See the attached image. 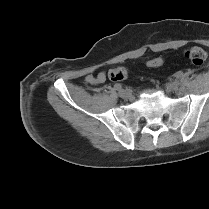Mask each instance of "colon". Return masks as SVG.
I'll list each match as a JSON object with an SVG mask.
<instances>
[{
    "instance_id": "1",
    "label": "colon",
    "mask_w": 209,
    "mask_h": 209,
    "mask_svg": "<svg viewBox=\"0 0 209 209\" xmlns=\"http://www.w3.org/2000/svg\"><path fill=\"white\" fill-rule=\"evenodd\" d=\"M185 59L195 66H203L207 61V52L201 47H192L185 51ZM163 59L160 57L147 61V66L158 68L163 65ZM127 70L123 67L113 68L108 72V77L112 81H123L127 78Z\"/></svg>"
}]
</instances>
